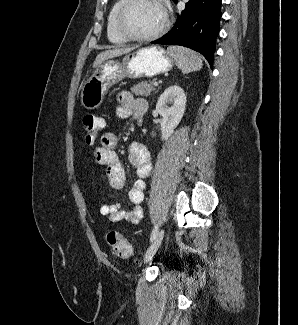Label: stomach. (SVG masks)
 Returning <instances> with one entry per match:
<instances>
[{
  "instance_id": "obj_1",
  "label": "stomach",
  "mask_w": 298,
  "mask_h": 325,
  "mask_svg": "<svg viewBox=\"0 0 298 325\" xmlns=\"http://www.w3.org/2000/svg\"><path fill=\"white\" fill-rule=\"evenodd\" d=\"M173 66L174 58L157 44L135 48L123 54L121 60H105L85 80L80 92L81 104L87 110L99 108L113 84L124 78H153L169 72Z\"/></svg>"
}]
</instances>
